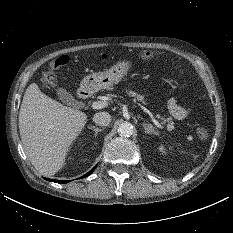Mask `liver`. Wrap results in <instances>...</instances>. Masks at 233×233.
I'll return each instance as SVG.
<instances>
[{"label":"liver","instance_id":"liver-1","mask_svg":"<svg viewBox=\"0 0 233 233\" xmlns=\"http://www.w3.org/2000/svg\"><path fill=\"white\" fill-rule=\"evenodd\" d=\"M87 122V115L62 105L30 84L19 112V131L32 165L44 175H53L65 164L72 143Z\"/></svg>","mask_w":233,"mask_h":233}]
</instances>
